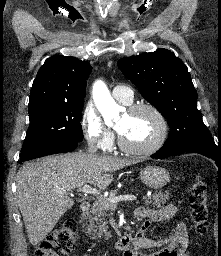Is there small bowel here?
I'll use <instances>...</instances> for the list:
<instances>
[{
    "instance_id": "obj_1",
    "label": "small bowel",
    "mask_w": 221,
    "mask_h": 256,
    "mask_svg": "<svg viewBox=\"0 0 221 256\" xmlns=\"http://www.w3.org/2000/svg\"><path fill=\"white\" fill-rule=\"evenodd\" d=\"M176 207L173 204L149 209L138 208L135 216L139 220H143L140 232L134 236L130 245L124 250V256H192L188 247V234L186 226L179 221L169 236L165 238H149L144 235L153 223L163 222L174 218L176 215ZM164 247L148 253L153 248Z\"/></svg>"
}]
</instances>
